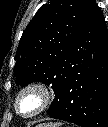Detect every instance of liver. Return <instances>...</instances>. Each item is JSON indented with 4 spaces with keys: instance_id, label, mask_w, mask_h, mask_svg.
I'll use <instances>...</instances> for the list:
<instances>
[{
    "instance_id": "liver-1",
    "label": "liver",
    "mask_w": 108,
    "mask_h": 127,
    "mask_svg": "<svg viewBox=\"0 0 108 127\" xmlns=\"http://www.w3.org/2000/svg\"><path fill=\"white\" fill-rule=\"evenodd\" d=\"M49 125H52L53 123H48ZM44 125H47L46 123Z\"/></svg>"
}]
</instances>
